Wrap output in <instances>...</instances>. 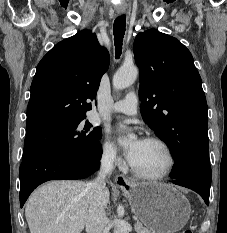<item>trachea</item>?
Returning <instances> with one entry per match:
<instances>
[{"instance_id": "obj_1", "label": "trachea", "mask_w": 227, "mask_h": 233, "mask_svg": "<svg viewBox=\"0 0 227 233\" xmlns=\"http://www.w3.org/2000/svg\"><path fill=\"white\" fill-rule=\"evenodd\" d=\"M125 27H126L125 15H121L117 17L114 21V27H113L116 59H118L122 53V44L125 34Z\"/></svg>"}]
</instances>
